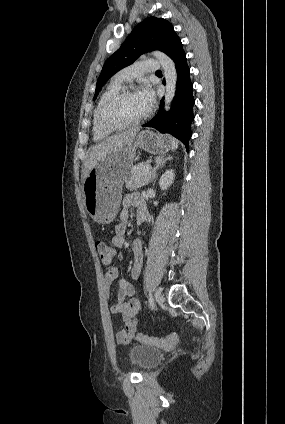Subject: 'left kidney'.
<instances>
[{
    "mask_svg": "<svg viewBox=\"0 0 285 424\" xmlns=\"http://www.w3.org/2000/svg\"><path fill=\"white\" fill-rule=\"evenodd\" d=\"M174 171L171 170H167L161 177L159 180V185L161 190H167L168 187H170V185L173 183L174 181Z\"/></svg>",
    "mask_w": 285,
    "mask_h": 424,
    "instance_id": "1",
    "label": "left kidney"
}]
</instances>
